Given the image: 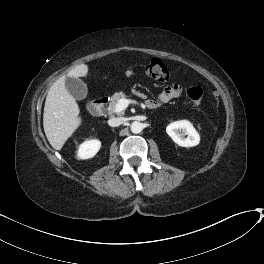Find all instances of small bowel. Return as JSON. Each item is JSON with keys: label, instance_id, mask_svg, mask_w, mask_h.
<instances>
[{"label": "small bowel", "instance_id": "c3829d8e", "mask_svg": "<svg viewBox=\"0 0 264 264\" xmlns=\"http://www.w3.org/2000/svg\"><path fill=\"white\" fill-rule=\"evenodd\" d=\"M139 97L144 98L140 92L137 93ZM180 95V90L174 84L167 85L164 90L155 99H147L144 104L149 109L158 108L161 104L171 101Z\"/></svg>", "mask_w": 264, "mask_h": 264}]
</instances>
